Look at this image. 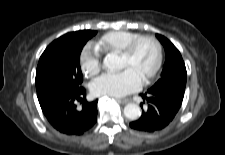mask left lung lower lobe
<instances>
[{
  "label": "left lung lower lobe",
  "instance_id": "left-lung-lower-lobe-1",
  "mask_svg": "<svg viewBox=\"0 0 225 155\" xmlns=\"http://www.w3.org/2000/svg\"><path fill=\"white\" fill-rule=\"evenodd\" d=\"M141 96L143 102L147 101L148 109L130 126L138 131L155 132L165 128L174 119L181 107L184 90H152Z\"/></svg>",
  "mask_w": 225,
  "mask_h": 155
}]
</instances>
